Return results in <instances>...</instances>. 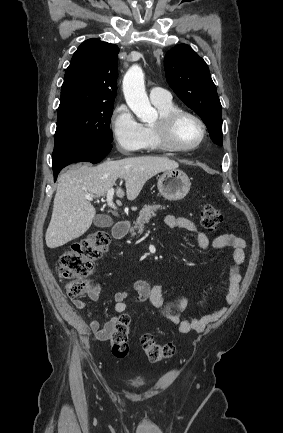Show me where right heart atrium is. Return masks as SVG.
Here are the masks:
<instances>
[{
  "mask_svg": "<svg viewBox=\"0 0 283 433\" xmlns=\"http://www.w3.org/2000/svg\"><path fill=\"white\" fill-rule=\"evenodd\" d=\"M109 129L114 147L122 155L138 154L141 145H148L144 127L125 105H116L109 117Z\"/></svg>",
  "mask_w": 283,
  "mask_h": 433,
  "instance_id": "obj_1",
  "label": "right heart atrium"
}]
</instances>
